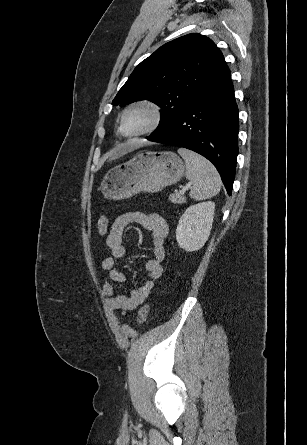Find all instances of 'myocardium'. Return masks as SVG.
I'll use <instances>...</instances> for the list:
<instances>
[{
    "instance_id": "1",
    "label": "myocardium",
    "mask_w": 307,
    "mask_h": 445,
    "mask_svg": "<svg viewBox=\"0 0 307 445\" xmlns=\"http://www.w3.org/2000/svg\"><path fill=\"white\" fill-rule=\"evenodd\" d=\"M136 106L149 107L153 111V115H154L153 123L148 128H146L142 131H139L134 134H127L124 130V119H125L127 112L131 108L136 107ZM164 120H165V112H164L163 107L158 102L151 100V99H139V100H136V101L130 103L123 110L121 119H120L119 129H120V133L124 137H127V138L140 137V136H144L147 134H151V133L159 130L161 128V126L163 125Z\"/></svg>"
}]
</instances>
